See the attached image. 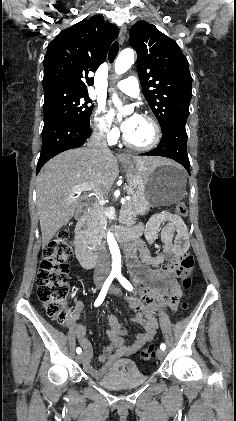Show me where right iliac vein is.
I'll return each mask as SVG.
<instances>
[{
    "label": "right iliac vein",
    "mask_w": 236,
    "mask_h": 421,
    "mask_svg": "<svg viewBox=\"0 0 236 421\" xmlns=\"http://www.w3.org/2000/svg\"><path fill=\"white\" fill-rule=\"evenodd\" d=\"M102 280L100 281V283H99V286L100 285H102ZM84 358H85V353L83 352V353H81V354H79L77 357H76V360L79 362V363H81V362H83L84 361Z\"/></svg>",
    "instance_id": "obj_1"
}]
</instances>
